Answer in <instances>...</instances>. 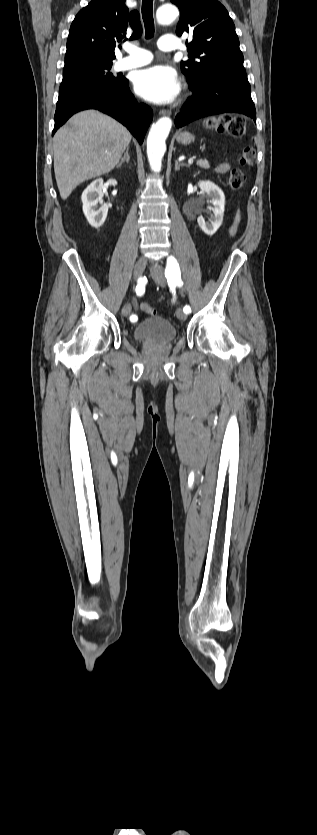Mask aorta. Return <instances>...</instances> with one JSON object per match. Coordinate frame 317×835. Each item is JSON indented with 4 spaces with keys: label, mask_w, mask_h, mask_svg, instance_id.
Instances as JSON below:
<instances>
[{
    "label": "aorta",
    "mask_w": 317,
    "mask_h": 835,
    "mask_svg": "<svg viewBox=\"0 0 317 835\" xmlns=\"http://www.w3.org/2000/svg\"><path fill=\"white\" fill-rule=\"evenodd\" d=\"M179 15L178 9L171 4H165L157 10V20L161 24L172 23ZM172 127V120L169 117H162L154 123L147 138V155L149 164L153 171L159 172L162 166V159L166 151L165 141Z\"/></svg>",
    "instance_id": "aorta-1"
}]
</instances>
